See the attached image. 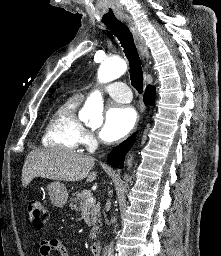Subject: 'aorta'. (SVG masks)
Wrapping results in <instances>:
<instances>
[{"instance_id": "aorta-1", "label": "aorta", "mask_w": 221, "mask_h": 256, "mask_svg": "<svg viewBox=\"0 0 221 256\" xmlns=\"http://www.w3.org/2000/svg\"><path fill=\"white\" fill-rule=\"evenodd\" d=\"M127 70L123 59H107L103 61L98 70L100 83H107L122 76ZM103 111V98L99 91L93 92L86 100L80 111V116L89 120L101 119Z\"/></svg>"}]
</instances>
